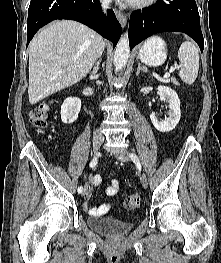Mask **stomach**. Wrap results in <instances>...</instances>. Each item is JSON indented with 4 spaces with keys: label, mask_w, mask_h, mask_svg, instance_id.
I'll use <instances>...</instances> for the list:
<instances>
[{
    "label": "stomach",
    "mask_w": 221,
    "mask_h": 263,
    "mask_svg": "<svg viewBox=\"0 0 221 263\" xmlns=\"http://www.w3.org/2000/svg\"><path fill=\"white\" fill-rule=\"evenodd\" d=\"M138 57L146 65L153 67L162 65L167 58L165 42L159 37L148 39L140 48Z\"/></svg>",
    "instance_id": "obj_1"
}]
</instances>
